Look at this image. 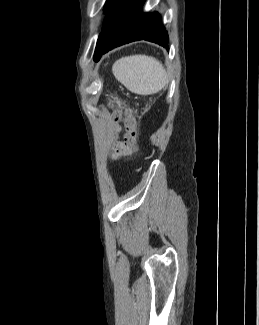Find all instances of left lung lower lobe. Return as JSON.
<instances>
[{"instance_id": "obj_1", "label": "left lung lower lobe", "mask_w": 259, "mask_h": 325, "mask_svg": "<svg viewBox=\"0 0 259 325\" xmlns=\"http://www.w3.org/2000/svg\"><path fill=\"white\" fill-rule=\"evenodd\" d=\"M145 0H125L103 33L101 54L120 45L147 40L168 49V34L158 12L142 13Z\"/></svg>"}]
</instances>
